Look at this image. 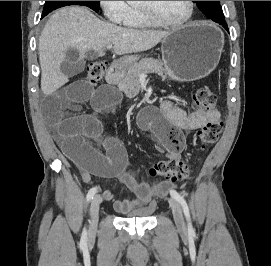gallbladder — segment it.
<instances>
[{
    "label": "gallbladder",
    "instance_id": "bac80fb5",
    "mask_svg": "<svg viewBox=\"0 0 271 266\" xmlns=\"http://www.w3.org/2000/svg\"><path fill=\"white\" fill-rule=\"evenodd\" d=\"M86 61L80 58L75 49H69L65 53V60L62 62L60 69L67 77H73L82 73L85 69Z\"/></svg>",
    "mask_w": 271,
    "mask_h": 266
}]
</instances>
